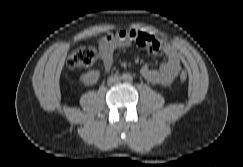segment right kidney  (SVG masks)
<instances>
[{
  "instance_id": "ca27d5eb",
  "label": "right kidney",
  "mask_w": 243,
  "mask_h": 167,
  "mask_svg": "<svg viewBox=\"0 0 243 167\" xmlns=\"http://www.w3.org/2000/svg\"><path fill=\"white\" fill-rule=\"evenodd\" d=\"M100 77V72L98 70H91L80 76V82L86 86L95 84Z\"/></svg>"
}]
</instances>
